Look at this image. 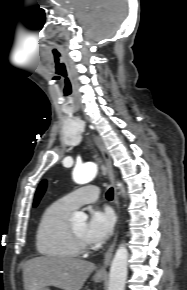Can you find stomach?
<instances>
[{
  "label": "stomach",
  "mask_w": 187,
  "mask_h": 290,
  "mask_svg": "<svg viewBox=\"0 0 187 290\" xmlns=\"http://www.w3.org/2000/svg\"><path fill=\"white\" fill-rule=\"evenodd\" d=\"M104 278H105L104 276H101V275H98V274L94 275V277H93V279H94L95 282H101V281L104 280ZM42 290H48V289L47 288H44Z\"/></svg>",
  "instance_id": "0dacf381"
}]
</instances>
